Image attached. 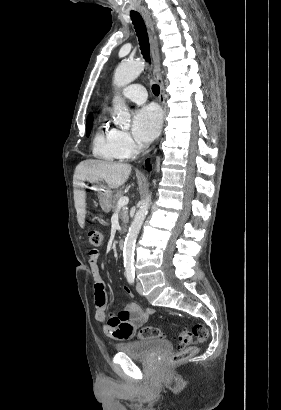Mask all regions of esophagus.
Instances as JSON below:
<instances>
[{"mask_svg":"<svg viewBox=\"0 0 281 410\" xmlns=\"http://www.w3.org/2000/svg\"><path fill=\"white\" fill-rule=\"evenodd\" d=\"M141 13L146 21L148 32H149V39L151 45V53L153 58V75L155 81L158 83L160 87V103L162 106L165 105V88L161 74V65H160V54H159V45H158V38L155 32L154 23L152 21L150 13L146 9H142Z\"/></svg>","mask_w":281,"mask_h":410,"instance_id":"34e87169","label":"esophagus"}]
</instances>
